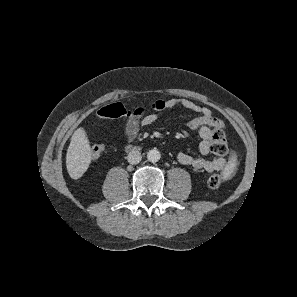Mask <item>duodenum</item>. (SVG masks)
<instances>
[{
    "mask_svg": "<svg viewBox=\"0 0 297 297\" xmlns=\"http://www.w3.org/2000/svg\"><path fill=\"white\" fill-rule=\"evenodd\" d=\"M128 150H129V151H134V150H136V148L133 147V146H130V147H128Z\"/></svg>",
    "mask_w": 297,
    "mask_h": 297,
    "instance_id": "1",
    "label": "duodenum"
}]
</instances>
